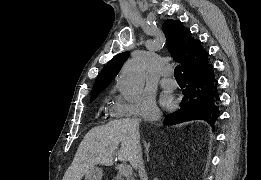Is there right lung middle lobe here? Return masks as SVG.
<instances>
[{"instance_id": "1", "label": "right lung middle lobe", "mask_w": 261, "mask_h": 180, "mask_svg": "<svg viewBox=\"0 0 261 180\" xmlns=\"http://www.w3.org/2000/svg\"><path fill=\"white\" fill-rule=\"evenodd\" d=\"M97 96L91 97V101H93Z\"/></svg>"}]
</instances>
